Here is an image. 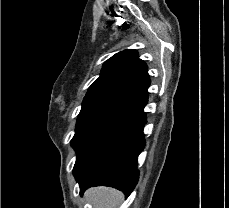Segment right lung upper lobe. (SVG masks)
Wrapping results in <instances>:
<instances>
[{"label":"right lung upper lobe","instance_id":"obj_1","mask_svg":"<svg viewBox=\"0 0 229 208\" xmlns=\"http://www.w3.org/2000/svg\"><path fill=\"white\" fill-rule=\"evenodd\" d=\"M144 61L136 50L127 49L108 59L100 77L89 87L82 104L92 101L118 98L146 105L150 76Z\"/></svg>","mask_w":229,"mask_h":208}]
</instances>
